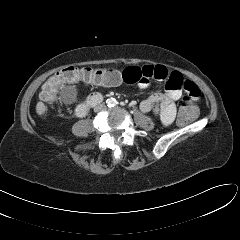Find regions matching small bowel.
Here are the masks:
<instances>
[{"label":"small bowel","mask_w":240,"mask_h":240,"mask_svg":"<svg viewBox=\"0 0 240 240\" xmlns=\"http://www.w3.org/2000/svg\"><path fill=\"white\" fill-rule=\"evenodd\" d=\"M151 79L164 80L165 91L156 92L141 102L140 110L143 113L153 112L164 125L171 124L176 116V102L185 93L193 101L199 99L200 90L195 83L186 79L177 71H169L162 65L130 66L118 74L114 80H105L98 86H117L120 84H137L139 88L145 89L149 86Z\"/></svg>","instance_id":"1"}]
</instances>
